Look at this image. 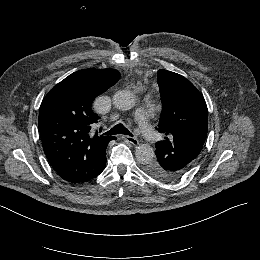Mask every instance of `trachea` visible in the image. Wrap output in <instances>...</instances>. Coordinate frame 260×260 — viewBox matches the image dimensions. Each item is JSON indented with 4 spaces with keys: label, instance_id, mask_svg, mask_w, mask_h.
<instances>
[{
    "label": "trachea",
    "instance_id": "1",
    "mask_svg": "<svg viewBox=\"0 0 260 260\" xmlns=\"http://www.w3.org/2000/svg\"><path fill=\"white\" fill-rule=\"evenodd\" d=\"M115 134H126L132 136L130 131L122 123H118L112 129L104 133V135H115Z\"/></svg>",
    "mask_w": 260,
    "mask_h": 260
}]
</instances>
